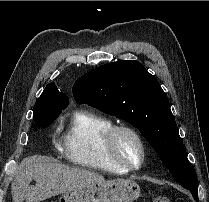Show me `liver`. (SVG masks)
<instances>
[{"instance_id": "6515ba94", "label": "liver", "mask_w": 209, "mask_h": 202, "mask_svg": "<svg viewBox=\"0 0 209 202\" xmlns=\"http://www.w3.org/2000/svg\"><path fill=\"white\" fill-rule=\"evenodd\" d=\"M32 180L36 181L34 186L30 185ZM103 181L104 177L98 173L32 156L20 163L11 194L14 202H40Z\"/></svg>"}]
</instances>
